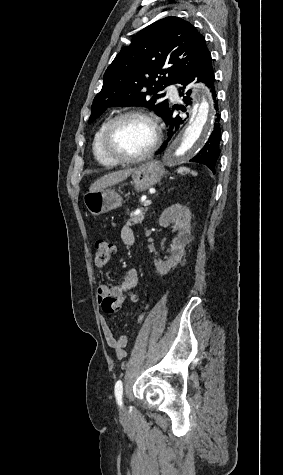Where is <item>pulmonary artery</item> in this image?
Segmentation results:
<instances>
[{"mask_svg": "<svg viewBox=\"0 0 283 475\" xmlns=\"http://www.w3.org/2000/svg\"><path fill=\"white\" fill-rule=\"evenodd\" d=\"M165 92L167 96H170L172 99H176L178 92L176 87H167Z\"/></svg>", "mask_w": 283, "mask_h": 475, "instance_id": "pulmonary-artery-1", "label": "pulmonary artery"}]
</instances>
